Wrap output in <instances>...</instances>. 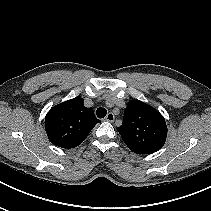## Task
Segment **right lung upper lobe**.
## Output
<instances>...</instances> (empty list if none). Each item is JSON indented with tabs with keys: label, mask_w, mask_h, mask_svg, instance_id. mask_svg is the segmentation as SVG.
<instances>
[{
	"label": "right lung upper lobe",
	"mask_w": 211,
	"mask_h": 211,
	"mask_svg": "<svg viewBox=\"0 0 211 211\" xmlns=\"http://www.w3.org/2000/svg\"><path fill=\"white\" fill-rule=\"evenodd\" d=\"M92 108L76 97L54 106L45 117V130L51 143L71 149L81 144L99 123Z\"/></svg>",
	"instance_id": "obj_1"
}]
</instances>
